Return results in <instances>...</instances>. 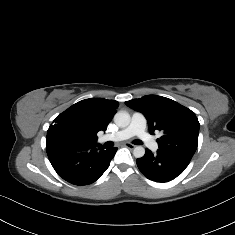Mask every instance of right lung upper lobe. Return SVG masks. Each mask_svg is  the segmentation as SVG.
<instances>
[{"label": "right lung upper lobe", "instance_id": "1", "mask_svg": "<svg viewBox=\"0 0 235 235\" xmlns=\"http://www.w3.org/2000/svg\"><path fill=\"white\" fill-rule=\"evenodd\" d=\"M119 103L104 98H90L77 102L58 115L47 131V144L64 142L95 145L97 133L105 131L117 112ZM71 133L74 141L65 139Z\"/></svg>", "mask_w": 235, "mask_h": 235}]
</instances>
